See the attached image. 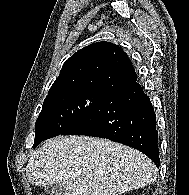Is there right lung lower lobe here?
<instances>
[{"label": "right lung lower lobe", "instance_id": "obj_1", "mask_svg": "<svg viewBox=\"0 0 189 195\" xmlns=\"http://www.w3.org/2000/svg\"><path fill=\"white\" fill-rule=\"evenodd\" d=\"M61 135L106 138L135 148L160 165L156 115L137 80L109 93L78 124Z\"/></svg>", "mask_w": 189, "mask_h": 195}]
</instances>
